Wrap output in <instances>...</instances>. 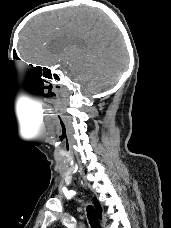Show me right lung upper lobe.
<instances>
[{"instance_id": "1", "label": "right lung upper lobe", "mask_w": 171, "mask_h": 228, "mask_svg": "<svg viewBox=\"0 0 171 228\" xmlns=\"http://www.w3.org/2000/svg\"><path fill=\"white\" fill-rule=\"evenodd\" d=\"M93 201H94V204H95L96 212H97L99 218H101L102 208L99 205V203H98L96 198H93Z\"/></svg>"}]
</instances>
